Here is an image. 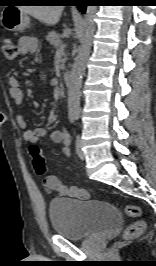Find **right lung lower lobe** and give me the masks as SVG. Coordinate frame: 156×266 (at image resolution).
I'll list each match as a JSON object with an SVG mask.
<instances>
[{"instance_id":"obj_1","label":"right lung lower lobe","mask_w":156,"mask_h":266,"mask_svg":"<svg viewBox=\"0 0 156 266\" xmlns=\"http://www.w3.org/2000/svg\"><path fill=\"white\" fill-rule=\"evenodd\" d=\"M89 2V0H75L73 3H75L74 5H76L82 13H84Z\"/></svg>"}]
</instances>
